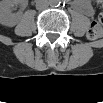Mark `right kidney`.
<instances>
[{
  "label": "right kidney",
  "mask_w": 103,
  "mask_h": 103,
  "mask_svg": "<svg viewBox=\"0 0 103 103\" xmlns=\"http://www.w3.org/2000/svg\"><path fill=\"white\" fill-rule=\"evenodd\" d=\"M15 0H3L0 4V23L3 26L13 27L19 22V14L12 13V8L17 5Z\"/></svg>",
  "instance_id": "right-kidney-1"
}]
</instances>
